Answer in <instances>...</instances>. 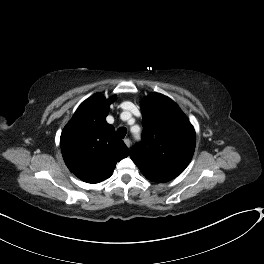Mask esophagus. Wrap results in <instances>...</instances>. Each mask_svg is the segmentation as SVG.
<instances>
[{"label":"esophagus","mask_w":264,"mask_h":264,"mask_svg":"<svg viewBox=\"0 0 264 264\" xmlns=\"http://www.w3.org/2000/svg\"><path fill=\"white\" fill-rule=\"evenodd\" d=\"M124 143L128 148L131 146V141L128 138L124 139Z\"/></svg>","instance_id":"obj_1"}]
</instances>
